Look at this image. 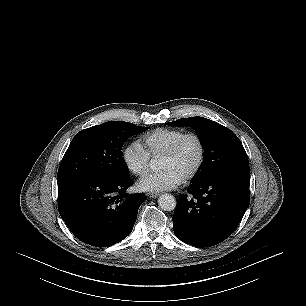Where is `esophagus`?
<instances>
[{
    "label": "esophagus",
    "instance_id": "esophagus-1",
    "mask_svg": "<svg viewBox=\"0 0 306 306\" xmlns=\"http://www.w3.org/2000/svg\"><path fill=\"white\" fill-rule=\"evenodd\" d=\"M160 194L158 192H148L147 196L150 198H156L158 197Z\"/></svg>",
    "mask_w": 306,
    "mask_h": 306
}]
</instances>
